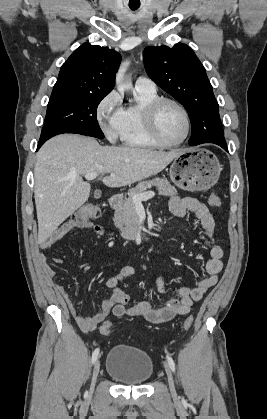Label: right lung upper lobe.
<instances>
[{
  "mask_svg": "<svg viewBox=\"0 0 267 419\" xmlns=\"http://www.w3.org/2000/svg\"><path fill=\"white\" fill-rule=\"evenodd\" d=\"M120 62L115 50L84 43L62 65L52 94H108Z\"/></svg>",
  "mask_w": 267,
  "mask_h": 419,
  "instance_id": "1",
  "label": "right lung upper lobe"
}]
</instances>
